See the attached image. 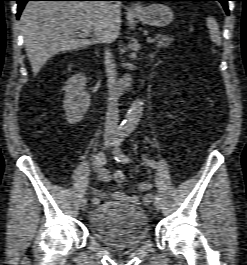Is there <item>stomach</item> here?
Masks as SVG:
<instances>
[{
	"mask_svg": "<svg viewBox=\"0 0 247 265\" xmlns=\"http://www.w3.org/2000/svg\"><path fill=\"white\" fill-rule=\"evenodd\" d=\"M133 14L143 23L155 27L169 25L174 17L170 7L162 3H153L135 11Z\"/></svg>",
	"mask_w": 247,
	"mask_h": 265,
	"instance_id": "0dacf381",
	"label": "stomach"
}]
</instances>
